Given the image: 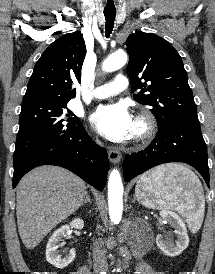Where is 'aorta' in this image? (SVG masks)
Returning a JSON list of instances; mask_svg holds the SVG:
<instances>
[{
	"label": "aorta",
	"mask_w": 215,
	"mask_h": 274,
	"mask_svg": "<svg viewBox=\"0 0 215 274\" xmlns=\"http://www.w3.org/2000/svg\"><path fill=\"white\" fill-rule=\"evenodd\" d=\"M127 62V55L124 51L112 53L102 65L106 72L115 71L123 67ZM123 193L124 188L118 170H113L108 181V205L110 219L114 223H119L123 212Z\"/></svg>",
	"instance_id": "762f6f07"
}]
</instances>
